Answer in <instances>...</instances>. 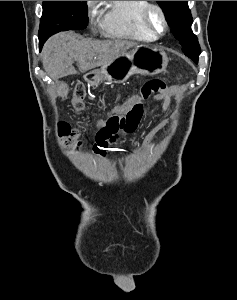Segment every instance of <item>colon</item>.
I'll return each instance as SVG.
<instances>
[{
  "instance_id": "5ec220e1",
  "label": "colon",
  "mask_w": 237,
  "mask_h": 300,
  "mask_svg": "<svg viewBox=\"0 0 237 300\" xmlns=\"http://www.w3.org/2000/svg\"><path fill=\"white\" fill-rule=\"evenodd\" d=\"M166 90V83L161 79H151L145 82L138 92L139 98L132 104L126 114L109 117L105 125L98 130L95 137L94 149L107 151L118 140L120 135L134 133L143 117V102L159 97ZM85 96V87L82 84L76 85L72 106L77 113H80L84 109ZM59 136L65 145L78 142V132L66 123L60 124Z\"/></svg>"
}]
</instances>
